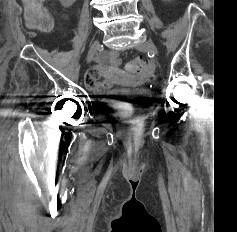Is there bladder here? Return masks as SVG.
Here are the masks:
<instances>
[{"mask_svg":"<svg viewBox=\"0 0 237 232\" xmlns=\"http://www.w3.org/2000/svg\"><path fill=\"white\" fill-rule=\"evenodd\" d=\"M123 94L125 93L120 90L112 91L111 97L98 102L100 109L110 115H117L128 112V110L131 108V103L120 98V96H122Z\"/></svg>","mask_w":237,"mask_h":232,"instance_id":"bladder-1","label":"bladder"}]
</instances>
